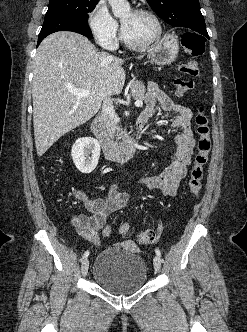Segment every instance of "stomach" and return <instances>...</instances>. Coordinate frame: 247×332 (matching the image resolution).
Instances as JSON below:
<instances>
[{"label": "stomach", "instance_id": "obj_1", "mask_svg": "<svg viewBox=\"0 0 247 332\" xmlns=\"http://www.w3.org/2000/svg\"><path fill=\"white\" fill-rule=\"evenodd\" d=\"M179 42L176 35L165 36L150 49L151 60L157 65L171 64L177 58Z\"/></svg>", "mask_w": 247, "mask_h": 332}]
</instances>
